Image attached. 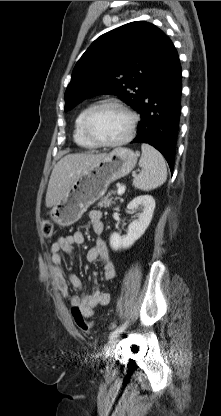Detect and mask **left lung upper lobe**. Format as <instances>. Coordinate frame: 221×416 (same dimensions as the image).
Returning <instances> with one entry per match:
<instances>
[{"label": "left lung upper lobe", "instance_id": "obj_1", "mask_svg": "<svg viewBox=\"0 0 221 416\" xmlns=\"http://www.w3.org/2000/svg\"><path fill=\"white\" fill-rule=\"evenodd\" d=\"M166 38L159 28L144 21L101 35L73 70L65 92V111L99 94L117 95L138 110Z\"/></svg>", "mask_w": 221, "mask_h": 416}]
</instances>
